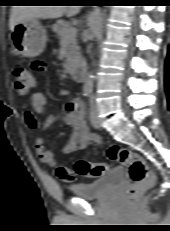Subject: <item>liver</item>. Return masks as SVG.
<instances>
[{
    "label": "liver",
    "instance_id": "6515ba94",
    "mask_svg": "<svg viewBox=\"0 0 170 231\" xmlns=\"http://www.w3.org/2000/svg\"><path fill=\"white\" fill-rule=\"evenodd\" d=\"M81 6H13L10 15L9 27L13 31L14 27L26 20L32 19H52L63 15L74 16L80 12Z\"/></svg>",
    "mask_w": 170,
    "mask_h": 231
}]
</instances>
